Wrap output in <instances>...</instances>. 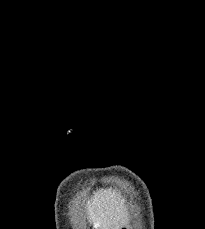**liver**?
Returning a JSON list of instances; mask_svg holds the SVG:
<instances>
[{
  "label": "liver",
  "mask_w": 205,
  "mask_h": 229,
  "mask_svg": "<svg viewBox=\"0 0 205 229\" xmlns=\"http://www.w3.org/2000/svg\"><path fill=\"white\" fill-rule=\"evenodd\" d=\"M125 200L115 191L97 190L87 203L88 218L99 229H117L128 220Z\"/></svg>",
  "instance_id": "obj_1"
}]
</instances>
